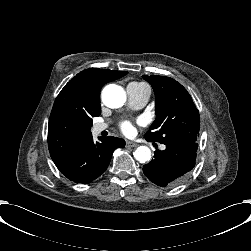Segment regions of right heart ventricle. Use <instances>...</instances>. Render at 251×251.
Returning a JSON list of instances; mask_svg holds the SVG:
<instances>
[{"instance_id":"1","label":"right heart ventricle","mask_w":251,"mask_h":251,"mask_svg":"<svg viewBox=\"0 0 251 251\" xmlns=\"http://www.w3.org/2000/svg\"><path fill=\"white\" fill-rule=\"evenodd\" d=\"M130 84L136 85L137 87L143 89V90L147 93L146 88H145V86H146L147 84L142 83V82H136V81L131 82Z\"/></svg>"}]
</instances>
